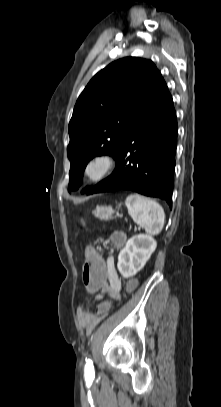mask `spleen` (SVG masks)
I'll list each match as a JSON object with an SVG mask.
<instances>
[{"instance_id": "obj_1", "label": "spleen", "mask_w": 221, "mask_h": 407, "mask_svg": "<svg viewBox=\"0 0 221 407\" xmlns=\"http://www.w3.org/2000/svg\"><path fill=\"white\" fill-rule=\"evenodd\" d=\"M125 204L133 221L144 228L147 233L157 235L161 232L165 213L158 202L140 194H130L127 196Z\"/></svg>"}]
</instances>
